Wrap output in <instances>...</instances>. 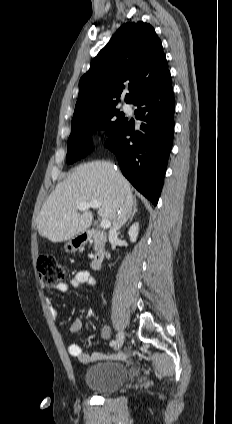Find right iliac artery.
Segmentation results:
<instances>
[{
	"label": "right iliac artery",
	"instance_id": "obj_1",
	"mask_svg": "<svg viewBox=\"0 0 232 424\" xmlns=\"http://www.w3.org/2000/svg\"><path fill=\"white\" fill-rule=\"evenodd\" d=\"M115 344H116V341H114V340L111 341V343H110L111 346H114Z\"/></svg>",
	"mask_w": 232,
	"mask_h": 424
}]
</instances>
